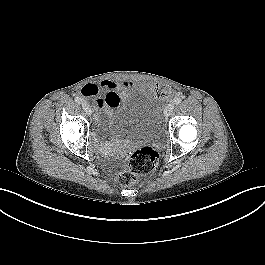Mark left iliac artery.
<instances>
[{"mask_svg":"<svg viewBox=\"0 0 265 265\" xmlns=\"http://www.w3.org/2000/svg\"><path fill=\"white\" fill-rule=\"evenodd\" d=\"M181 102H182V98H180V97H177L174 99V104H176V105L180 104Z\"/></svg>","mask_w":265,"mask_h":265,"instance_id":"obj_1","label":"left iliac artery"}]
</instances>
